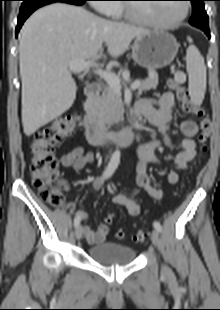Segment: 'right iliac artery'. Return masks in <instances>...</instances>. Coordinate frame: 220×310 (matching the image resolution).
Segmentation results:
<instances>
[{
	"label": "right iliac artery",
	"instance_id": "1",
	"mask_svg": "<svg viewBox=\"0 0 220 310\" xmlns=\"http://www.w3.org/2000/svg\"><path fill=\"white\" fill-rule=\"evenodd\" d=\"M119 159H120V152L119 151H115L108 163V166L106 167L104 173H103V176L102 178L105 180V179H108L113 173L114 171L116 170L118 164H119ZM80 221H81V217L80 216H76L74 218V226L77 227L79 224H80Z\"/></svg>",
	"mask_w": 220,
	"mask_h": 310
}]
</instances>
